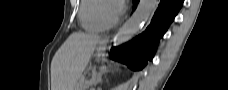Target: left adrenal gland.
I'll return each instance as SVG.
<instances>
[{"label":"left adrenal gland","instance_id":"1","mask_svg":"<svg viewBox=\"0 0 228 90\" xmlns=\"http://www.w3.org/2000/svg\"><path fill=\"white\" fill-rule=\"evenodd\" d=\"M110 71H113V70L108 69V68L101 69L99 71L98 75L96 76V78L93 80V85L96 86L97 84L101 83L102 82V75L107 73V72H110Z\"/></svg>","mask_w":228,"mask_h":90}]
</instances>
